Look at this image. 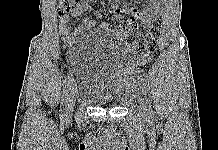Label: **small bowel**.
Returning <instances> with one entry per match:
<instances>
[{"instance_id": "obj_1", "label": "small bowel", "mask_w": 218, "mask_h": 150, "mask_svg": "<svg viewBox=\"0 0 218 150\" xmlns=\"http://www.w3.org/2000/svg\"><path fill=\"white\" fill-rule=\"evenodd\" d=\"M110 1H112L110 10L111 13L119 16H128L125 28L121 25L117 28H114L107 22H102L97 25L94 19L87 18L80 25L73 29L71 24L72 18H76L84 14L89 9L91 0H80L71 12V15L65 16L62 19L59 32L64 47L69 48L67 54L69 62L73 63L77 57V49L72 46L76 37L94 29L103 33L110 34L119 39H124V36L129 29H138L139 23L144 28H148L153 24V22L159 16L162 0H146V4L142 11H139L136 8L130 6L120 8L118 6V0ZM95 17L100 18L101 14L96 13Z\"/></svg>"}]
</instances>
